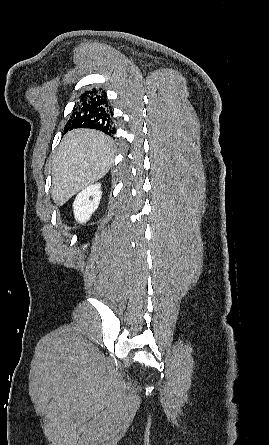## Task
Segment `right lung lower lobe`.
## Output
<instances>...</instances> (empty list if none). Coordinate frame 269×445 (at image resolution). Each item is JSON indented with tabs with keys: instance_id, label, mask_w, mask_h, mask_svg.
<instances>
[{
	"instance_id": "98d812e1",
	"label": "right lung lower lobe",
	"mask_w": 269,
	"mask_h": 445,
	"mask_svg": "<svg viewBox=\"0 0 269 445\" xmlns=\"http://www.w3.org/2000/svg\"><path fill=\"white\" fill-rule=\"evenodd\" d=\"M112 115L104 92L96 89L85 91L80 96L64 132L75 128H90L100 130L107 135H114L116 129L112 124Z\"/></svg>"
}]
</instances>
